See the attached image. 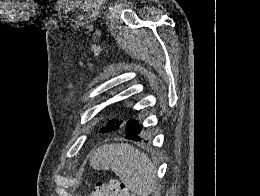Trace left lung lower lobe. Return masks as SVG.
Masks as SVG:
<instances>
[{
	"label": "left lung lower lobe",
	"instance_id": "0a47b994",
	"mask_svg": "<svg viewBox=\"0 0 260 196\" xmlns=\"http://www.w3.org/2000/svg\"><path fill=\"white\" fill-rule=\"evenodd\" d=\"M127 118V116H125L123 119ZM126 131V139H131L134 141H141L142 138L140 137L141 135V131H142V127L141 124L138 121H134V120H130L125 128Z\"/></svg>",
	"mask_w": 260,
	"mask_h": 196
}]
</instances>
